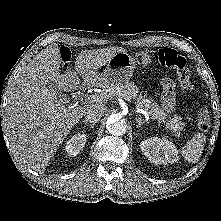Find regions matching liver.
Listing matches in <instances>:
<instances>
[{"instance_id": "obj_1", "label": "liver", "mask_w": 221, "mask_h": 221, "mask_svg": "<svg viewBox=\"0 0 221 221\" xmlns=\"http://www.w3.org/2000/svg\"><path fill=\"white\" fill-rule=\"evenodd\" d=\"M122 47L81 51L75 70L61 72L62 58L57 44L40 51L22 69L13 88L3 128L14 157L29 168L43 172L58 146L92 105L68 106L57 91L72 92L87 85L102 86L98 70Z\"/></svg>"}]
</instances>
